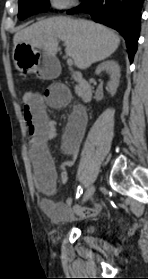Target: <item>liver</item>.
<instances>
[{"instance_id":"obj_1","label":"liver","mask_w":148,"mask_h":279,"mask_svg":"<svg viewBox=\"0 0 148 279\" xmlns=\"http://www.w3.org/2000/svg\"><path fill=\"white\" fill-rule=\"evenodd\" d=\"M59 40L64 42L66 54L72 57L79 69H86L108 58L120 44L119 36L109 28L92 21L68 17L36 22L17 32L13 43L15 47L25 43L55 57Z\"/></svg>"}]
</instances>
